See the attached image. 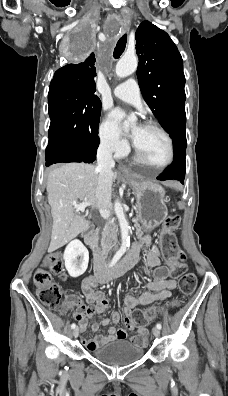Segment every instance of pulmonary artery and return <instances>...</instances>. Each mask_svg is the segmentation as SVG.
Here are the masks:
<instances>
[{
	"mask_svg": "<svg viewBox=\"0 0 228 396\" xmlns=\"http://www.w3.org/2000/svg\"><path fill=\"white\" fill-rule=\"evenodd\" d=\"M114 95L129 104L140 107L142 104L140 88L135 79H128L114 88Z\"/></svg>",
	"mask_w": 228,
	"mask_h": 396,
	"instance_id": "1",
	"label": "pulmonary artery"
}]
</instances>
